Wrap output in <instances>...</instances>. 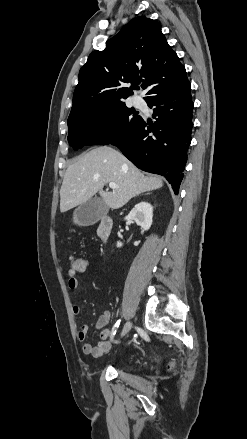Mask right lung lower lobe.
<instances>
[{
  "label": "right lung lower lobe",
  "mask_w": 247,
  "mask_h": 439,
  "mask_svg": "<svg viewBox=\"0 0 247 439\" xmlns=\"http://www.w3.org/2000/svg\"><path fill=\"white\" fill-rule=\"evenodd\" d=\"M191 84L154 96L147 101L154 107V124L140 120L121 138L112 142L141 170L163 175L178 194L191 143Z\"/></svg>",
  "instance_id": "98d812e1"
}]
</instances>
